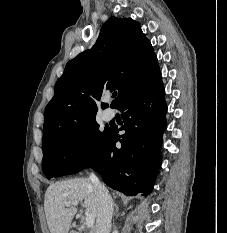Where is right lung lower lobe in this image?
<instances>
[{
    "instance_id": "right-lung-lower-lobe-1",
    "label": "right lung lower lobe",
    "mask_w": 227,
    "mask_h": 233,
    "mask_svg": "<svg viewBox=\"0 0 227 233\" xmlns=\"http://www.w3.org/2000/svg\"><path fill=\"white\" fill-rule=\"evenodd\" d=\"M162 80L120 108L124 125L111 128L87 167L101 174L111 188L126 195L150 194L161 165L160 149L166 129L167 106ZM119 130L125 134L119 135ZM121 143V148L115 146Z\"/></svg>"
}]
</instances>
